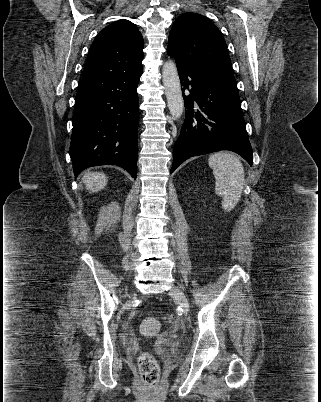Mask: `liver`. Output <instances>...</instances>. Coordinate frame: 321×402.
Returning a JSON list of instances; mask_svg holds the SVG:
<instances>
[{
  "label": "liver",
  "instance_id": "liver-1",
  "mask_svg": "<svg viewBox=\"0 0 321 402\" xmlns=\"http://www.w3.org/2000/svg\"><path fill=\"white\" fill-rule=\"evenodd\" d=\"M82 180L90 193L101 191L108 182L106 175L102 172H89L84 175Z\"/></svg>",
  "mask_w": 321,
  "mask_h": 402
}]
</instances>
